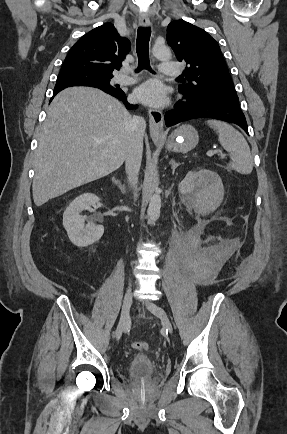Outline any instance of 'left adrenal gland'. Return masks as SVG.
I'll return each mask as SVG.
<instances>
[{"label": "left adrenal gland", "mask_w": 287, "mask_h": 434, "mask_svg": "<svg viewBox=\"0 0 287 434\" xmlns=\"http://www.w3.org/2000/svg\"><path fill=\"white\" fill-rule=\"evenodd\" d=\"M169 164L171 165L172 173L174 174L175 169L180 165V163H176L173 159H171Z\"/></svg>", "instance_id": "1"}]
</instances>
